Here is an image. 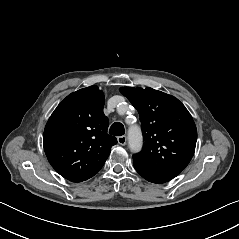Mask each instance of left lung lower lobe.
I'll use <instances>...</instances> for the list:
<instances>
[{"label":"left lung lower lobe","mask_w":239,"mask_h":239,"mask_svg":"<svg viewBox=\"0 0 239 239\" xmlns=\"http://www.w3.org/2000/svg\"><path fill=\"white\" fill-rule=\"evenodd\" d=\"M133 164L136 171L143 178L157 184L167 182L181 173V170L155 169V168L140 166L135 163Z\"/></svg>","instance_id":"left-lung-lower-lobe-1"}]
</instances>
